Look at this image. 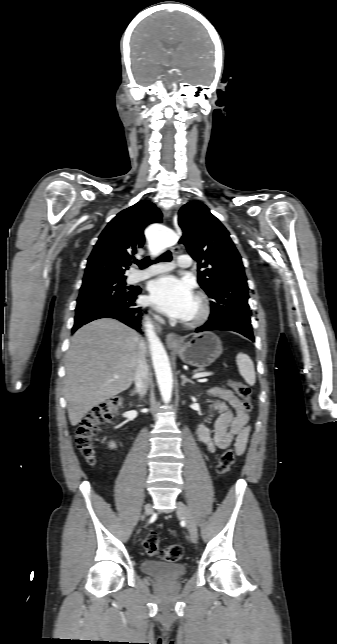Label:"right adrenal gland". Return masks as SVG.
I'll list each match as a JSON object with an SVG mask.
<instances>
[{"instance_id": "right-adrenal-gland-1", "label": "right adrenal gland", "mask_w": 337, "mask_h": 644, "mask_svg": "<svg viewBox=\"0 0 337 644\" xmlns=\"http://www.w3.org/2000/svg\"><path fill=\"white\" fill-rule=\"evenodd\" d=\"M137 392H138V391H137L136 389H134V390L132 391V394L134 395V394H136Z\"/></svg>"}]
</instances>
